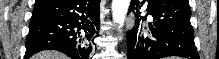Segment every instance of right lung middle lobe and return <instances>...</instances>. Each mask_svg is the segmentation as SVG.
<instances>
[{"mask_svg": "<svg viewBox=\"0 0 219 59\" xmlns=\"http://www.w3.org/2000/svg\"><path fill=\"white\" fill-rule=\"evenodd\" d=\"M39 19V17H32L31 20Z\"/></svg>", "mask_w": 219, "mask_h": 59, "instance_id": "dd1d6c3e", "label": "right lung middle lobe"}]
</instances>
